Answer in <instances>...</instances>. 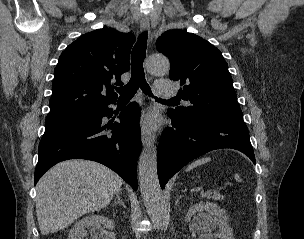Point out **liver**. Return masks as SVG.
Returning <instances> with one entry per match:
<instances>
[{
  "mask_svg": "<svg viewBox=\"0 0 304 239\" xmlns=\"http://www.w3.org/2000/svg\"><path fill=\"white\" fill-rule=\"evenodd\" d=\"M122 184L115 172L97 162L74 159L56 164L36 187L41 234L57 232L86 213L105 208Z\"/></svg>",
  "mask_w": 304,
  "mask_h": 239,
  "instance_id": "liver-1",
  "label": "liver"
}]
</instances>
